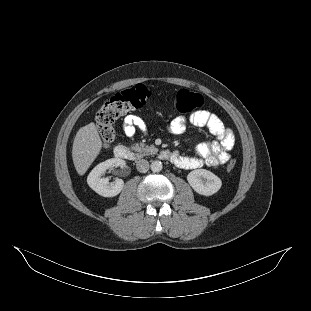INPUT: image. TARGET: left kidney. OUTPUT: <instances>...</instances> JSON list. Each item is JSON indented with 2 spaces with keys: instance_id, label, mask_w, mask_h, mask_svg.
I'll list each match as a JSON object with an SVG mask.
<instances>
[{
  "instance_id": "5707ae66",
  "label": "left kidney",
  "mask_w": 311,
  "mask_h": 311,
  "mask_svg": "<svg viewBox=\"0 0 311 311\" xmlns=\"http://www.w3.org/2000/svg\"><path fill=\"white\" fill-rule=\"evenodd\" d=\"M188 183L199 194L210 196L222 186L221 179L206 169H196L187 176Z\"/></svg>"
}]
</instances>
